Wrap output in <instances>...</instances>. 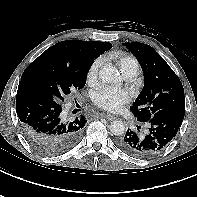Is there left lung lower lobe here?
<instances>
[{
	"label": "left lung lower lobe",
	"mask_w": 197,
	"mask_h": 197,
	"mask_svg": "<svg viewBox=\"0 0 197 197\" xmlns=\"http://www.w3.org/2000/svg\"><path fill=\"white\" fill-rule=\"evenodd\" d=\"M185 106H170L158 110L144 122L147 125L146 134L138 135L127 130L118 140V146L127 154L136 158H149L161 152L178 132L183 122Z\"/></svg>",
	"instance_id": "1"
}]
</instances>
